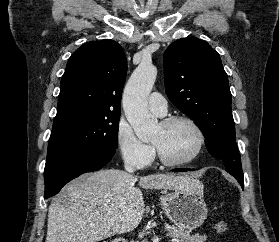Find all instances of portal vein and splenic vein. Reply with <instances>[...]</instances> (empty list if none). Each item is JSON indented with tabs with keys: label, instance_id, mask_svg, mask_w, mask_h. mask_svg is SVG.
Wrapping results in <instances>:
<instances>
[{
	"label": "portal vein and splenic vein",
	"instance_id": "portal-vein-and-splenic-vein-1",
	"mask_svg": "<svg viewBox=\"0 0 279 242\" xmlns=\"http://www.w3.org/2000/svg\"><path fill=\"white\" fill-rule=\"evenodd\" d=\"M172 242H179V240L178 239H173Z\"/></svg>",
	"mask_w": 279,
	"mask_h": 242
}]
</instances>
